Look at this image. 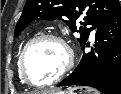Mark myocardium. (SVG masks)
Here are the masks:
<instances>
[{
    "instance_id": "1",
    "label": "myocardium",
    "mask_w": 121,
    "mask_h": 94,
    "mask_svg": "<svg viewBox=\"0 0 121 94\" xmlns=\"http://www.w3.org/2000/svg\"><path fill=\"white\" fill-rule=\"evenodd\" d=\"M45 40L54 41L62 47L65 54V62L60 72L53 79H51L48 82L38 84L36 82H33L28 76V73L25 67V62H26V57L29 51L31 50V48L37 43ZM73 64H74L73 51L62 37L55 34H40L32 38L25 44L19 57V72L24 82L27 83L28 85L38 87V88L48 87L61 81L70 72V70L73 67Z\"/></svg>"
}]
</instances>
